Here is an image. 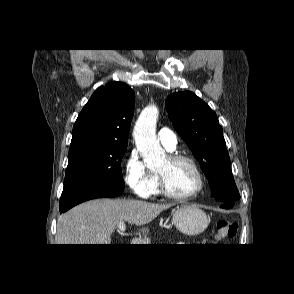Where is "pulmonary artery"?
Instances as JSON below:
<instances>
[{"label": "pulmonary artery", "instance_id": "obj_1", "mask_svg": "<svg viewBox=\"0 0 294 294\" xmlns=\"http://www.w3.org/2000/svg\"><path fill=\"white\" fill-rule=\"evenodd\" d=\"M158 139L167 151L172 152L176 149L177 139L170 129L161 128L158 132Z\"/></svg>", "mask_w": 294, "mask_h": 294}]
</instances>
